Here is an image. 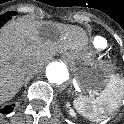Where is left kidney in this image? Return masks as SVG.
Wrapping results in <instances>:
<instances>
[{
	"label": "left kidney",
	"mask_w": 124,
	"mask_h": 124,
	"mask_svg": "<svg viewBox=\"0 0 124 124\" xmlns=\"http://www.w3.org/2000/svg\"><path fill=\"white\" fill-rule=\"evenodd\" d=\"M66 107H67V108H70V103H69V102L66 103ZM69 114H70L71 116H73V117L75 116V113H74V111H73L72 109L69 110Z\"/></svg>",
	"instance_id": "5707ae66"
}]
</instances>
